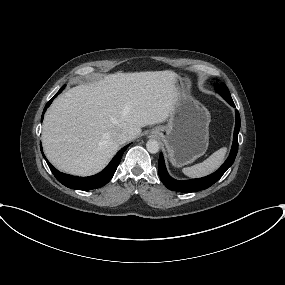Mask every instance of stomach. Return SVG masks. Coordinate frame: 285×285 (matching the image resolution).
Segmentation results:
<instances>
[{
  "label": "stomach",
  "instance_id": "0dacf381",
  "mask_svg": "<svg viewBox=\"0 0 285 285\" xmlns=\"http://www.w3.org/2000/svg\"><path fill=\"white\" fill-rule=\"evenodd\" d=\"M176 87L178 95L167 124L155 127L151 134L165 144L170 162L182 167L206 152L211 116L207 108L190 95L191 81L186 74L177 75Z\"/></svg>",
  "mask_w": 285,
  "mask_h": 285
}]
</instances>
